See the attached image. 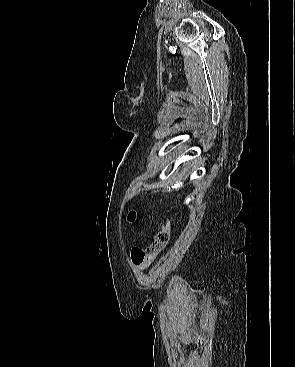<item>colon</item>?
Returning <instances> with one entry per match:
<instances>
[{
    "label": "colon",
    "mask_w": 295,
    "mask_h": 367,
    "mask_svg": "<svg viewBox=\"0 0 295 367\" xmlns=\"http://www.w3.org/2000/svg\"><path fill=\"white\" fill-rule=\"evenodd\" d=\"M135 213L129 215V219L133 220ZM171 222L166 220L164 226L156 233L152 243L146 248H133L131 256L135 264H150L155 258L163 252L170 241Z\"/></svg>",
    "instance_id": "obj_1"
}]
</instances>
